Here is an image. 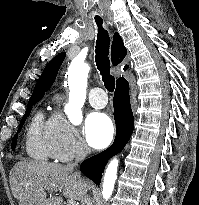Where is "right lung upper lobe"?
Instances as JSON below:
<instances>
[{"instance_id": "obj_1", "label": "right lung upper lobe", "mask_w": 199, "mask_h": 205, "mask_svg": "<svg viewBox=\"0 0 199 205\" xmlns=\"http://www.w3.org/2000/svg\"><path fill=\"white\" fill-rule=\"evenodd\" d=\"M127 54V49L124 47L122 38L120 37V35L118 33L114 34L113 37V43H112V47H111V60H112V64L115 66L119 63H121L125 56ZM66 53L62 52L59 53L56 57H54L45 67V69L43 70L41 76L39 77L36 86L33 90V93L29 99L30 101L33 100H37V99H41L45 92L49 90V88L52 86L56 75L58 73V70L63 62V60L65 59ZM128 68V66L126 65L124 67V70H126ZM124 79L119 78L117 80V83ZM116 83V84H117Z\"/></svg>"}]
</instances>
